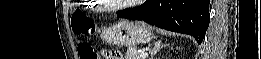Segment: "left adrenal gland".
Masks as SVG:
<instances>
[{
	"label": "left adrenal gland",
	"instance_id": "obj_1",
	"mask_svg": "<svg viewBox=\"0 0 261 59\" xmlns=\"http://www.w3.org/2000/svg\"><path fill=\"white\" fill-rule=\"evenodd\" d=\"M166 45H162L161 41H157L154 43V47L152 51H150V59H154V56Z\"/></svg>",
	"mask_w": 261,
	"mask_h": 59
}]
</instances>
